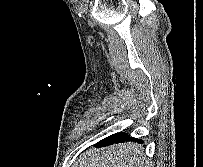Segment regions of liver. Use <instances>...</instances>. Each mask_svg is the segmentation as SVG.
<instances>
[{"instance_id": "1", "label": "liver", "mask_w": 203, "mask_h": 167, "mask_svg": "<svg viewBox=\"0 0 203 167\" xmlns=\"http://www.w3.org/2000/svg\"><path fill=\"white\" fill-rule=\"evenodd\" d=\"M143 150L136 143H122L101 149H90L73 167H147Z\"/></svg>"}]
</instances>
